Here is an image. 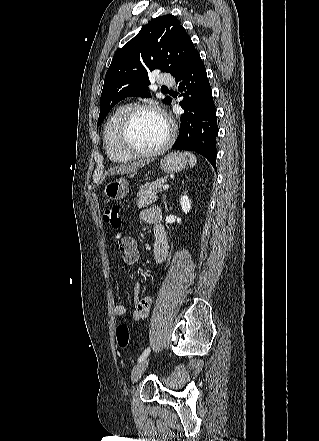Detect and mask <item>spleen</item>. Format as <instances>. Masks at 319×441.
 Wrapping results in <instances>:
<instances>
[{
  "label": "spleen",
  "mask_w": 319,
  "mask_h": 441,
  "mask_svg": "<svg viewBox=\"0 0 319 441\" xmlns=\"http://www.w3.org/2000/svg\"><path fill=\"white\" fill-rule=\"evenodd\" d=\"M186 154H187L188 157H189V164H190V167H194L195 164L197 163V158H196V156H195L193 153H190V152H186Z\"/></svg>",
  "instance_id": "spleen-1"
}]
</instances>
